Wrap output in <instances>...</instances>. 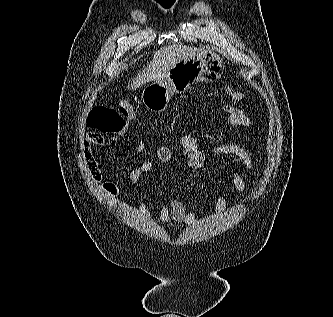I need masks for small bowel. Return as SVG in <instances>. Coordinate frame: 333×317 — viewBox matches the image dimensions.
<instances>
[{"mask_svg":"<svg viewBox=\"0 0 333 317\" xmlns=\"http://www.w3.org/2000/svg\"><path fill=\"white\" fill-rule=\"evenodd\" d=\"M223 110L228 114L227 123L231 126L251 127L252 122L248 115L233 106L224 105ZM105 138L98 133H89L83 145V161L86 168L90 172L91 179L95 183H101L102 175L98 168L97 162L92 153V147H104ZM145 145L142 141L137 142V150H144ZM181 156L185 166L192 170L203 169L206 163V154L201 150L198 141L191 135L183 134L180 137ZM216 155H224L236 158L244 168V171L251 175L253 172V161L249 152L242 146L233 143L222 144L212 151ZM155 158L162 164H168L172 160V150L168 146H159L155 150ZM153 168L151 159H144L131 173L128 180H119L118 182H104L101 184L104 191L112 196L120 195V187L123 186L130 193H135L140 186L141 177ZM120 172V168H116ZM231 182L237 193L243 194L246 190V182L243 176L237 171H231ZM226 202L221 193H217L215 197V213L222 215L225 211ZM160 221L162 223H181L186 225H194L196 222V214L191 209H187L183 202L177 198H173L168 205L160 206Z\"/></svg>","mask_w":333,"mask_h":317,"instance_id":"1","label":"small bowel"}]
</instances>
